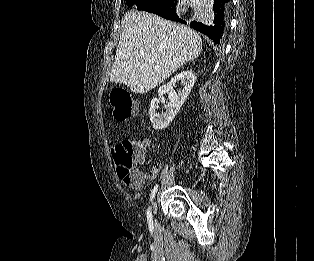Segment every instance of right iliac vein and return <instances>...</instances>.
<instances>
[{
  "label": "right iliac vein",
  "mask_w": 314,
  "mask_h": 261,
  "mask_svg": "<svg viewBox=\"0 0 314 261\" xmlns=\"http://www.w3.org/2000/svg\"><path fill=\"white\" fill-rule=\"evenodd\" d=\"M152 208H153V211L155 213L157 211V204H156V202L153 203Z\"/></svg>",
  "instance_id": "obj_1"
}]
</instances>
